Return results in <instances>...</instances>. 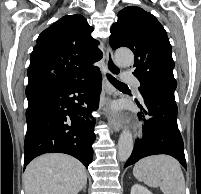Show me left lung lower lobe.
I'll return each instance as SVG.
<instances>
[{
	"label": "left lung lower lobe",
	"instance_id": "0a47b994",
	"mask_svg": "<svg viewBox=\"0 0 201 194\" xmlns=\"http://www.w3.org/2000/svg\"><path fill=\"white\" fill-rule=\"evenodd\" d=\"M144 105L138 113L143 120V138L137 139L130 158L124 167L141 158L156 154H167L176 158L186 169L184 145L177 125V105L174 95L154 91L143 97Z\"/></svg>",
	"mask_w": 201,
	"mask_h": 194
}]
</instances>
